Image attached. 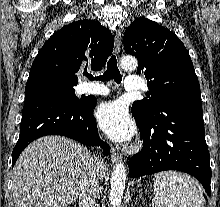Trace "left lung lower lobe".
Instances as JSON below:
<instances>
[{
	"instance_id": "1",
	"label": "left lung lower lobe",
	"mask_w": 220,
	"mask_h": 207,
	"mask_svg": "<svg viewBox=\"0 0 220 207\" xmlns=\"http://www.w3.org/2000/svg\"><path fill=\"white\" fill-rule=\"evenodd\" d=\"M135 120L144 145L128 161L129 176L136 178L164 170H179L198 179L210 196V157L201 98L178 99L165 105L153 120L142 123Z\"/></svg>"
}]
</instances>
